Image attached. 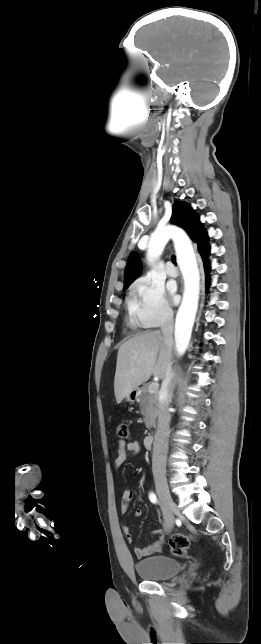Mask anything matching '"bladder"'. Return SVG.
Segmentation results:
<instances>
[{
    "label": "bladder",
    "mask_w": 261,
    "mask_h": 644,
    "mask_svg": "<svg viewBox=\"0 0 261 644\" xmlns=\"http://www.w3.org/2000/svg\"><path fill=\"white\" fill-rule=\"evenodd\" d=\"M134 569L144 580L162 581L178 575L182 570V564L168 556L154 555L137 561Z\"/></svg>",
    "instance_id": "31cf9c89"
}]
</instances>
